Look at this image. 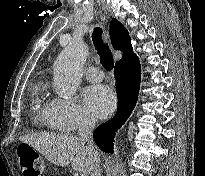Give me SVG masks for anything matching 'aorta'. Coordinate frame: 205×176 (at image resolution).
<instances>
[{
    "label": "aorta",
    "instance_id": "762f6f07",
    "mask_svg": "<svg viewBox=\"0 0 205 176\" xmlns=\"http://www.w3.org/2000/svg\"><path fill=\"white\" fill-rule=\"evenodd\" d=\"M88 52V47L82 41H72L57 57L53 89L60 97L70 99L76 93Z\"/></svg>",
    "mask_w": 205,
    "mask_h": 176
}]
</instances>
